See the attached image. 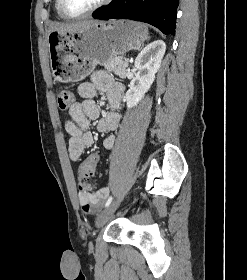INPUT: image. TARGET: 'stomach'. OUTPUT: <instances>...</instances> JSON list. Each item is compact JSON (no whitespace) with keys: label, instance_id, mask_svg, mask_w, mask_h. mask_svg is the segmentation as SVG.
Masks as SVG:
<instances>
[{"label":"stomach","instance_id":"stomach-1","mask_svg":"<svg viewBox=\"0 0 247 280\" xmlns=\"http://www.w3.org/2000/svg\"><path fill=\"white\" fill-rule=\"evenodd\" d=\"M147 26L130 20L98 22L82 31L47 36L50 64L56 80L78 82L113 57L141 47Z\"/></svg>","mask_w":247,"mask_h":280}]
</instances>
